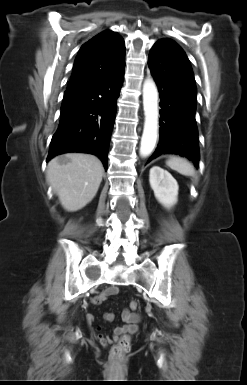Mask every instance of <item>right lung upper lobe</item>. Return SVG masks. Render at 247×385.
I'll list each match as a JSON object with an SVG mask.
<instances>
[{
  "instance_id": "cb5924a9",
  "label": "right lung upper lobe",
  "mask_w": 247,
  "mask_h": 385,
  "mask_svg": "<svg viewBox=\"0 0 247 385\" xmlns=\"http://www.w3.org/2000/svg\"><path fill=\"white\" fill-rule=\"evenodd\" d=\"M125 66L123 39L105 30L85 43L75 59L66 92L109 76Z\"/></svg>"
}]
</instances>
